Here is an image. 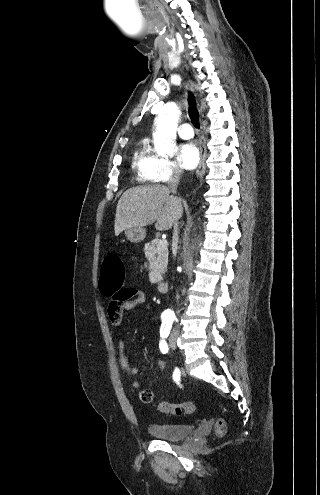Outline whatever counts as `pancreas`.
Masks as SVG:
<instances>
[{
    "instance_id": "cf45deb5",
    "label": "pancreas",
    "mask_w": 320,
    "mask_h": 495,
    "mask_svg": "<svg viewBox=\"0 0 320 495\" xmlns=\"http://www.w3.org/2000/svg\"><path fill=\"white\" fill-rule=\"evenodd\" d=\"M161 239H154L145 244V256L149 261V270L151 271V281L158 283L162 275L167 270L168 264V244L160 245Z\"/></svg>"
}]
</instances>
